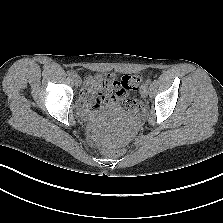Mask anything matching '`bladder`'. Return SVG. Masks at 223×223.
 <instances>
[{
  "mask_svg": "<svg viewBox=\"0 0 223 223\" xmlns=\"http://www.w3.org/2000/svg\"><path fill=\"white\" fill-rule=\"evenodd\" d=\"M105 112H107V113H116V108H114V107L105 108Z\"/></svg>",
  "mask_w": 223,
  "mask_h": 223,
  "instance_id": "1",
  "label": "bladder"
}]
</instances>
